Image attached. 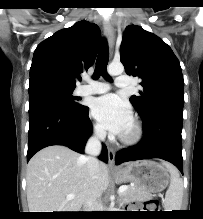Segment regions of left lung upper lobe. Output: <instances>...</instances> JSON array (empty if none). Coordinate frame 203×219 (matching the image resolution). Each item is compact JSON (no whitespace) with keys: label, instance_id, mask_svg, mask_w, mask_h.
<instances>
[{"label":"left lung upper lobe","instance_id":"obj_1","mask_svg":"<svg viewBox=\"0 0 203 219\" xmlns=\"http://www.w3.org/2000/svg\"><path fill=\"white\" fill-rule=\"evenodd\" d=\"M121 62L128 75L138 76L144 91L130 101L142 120L152 113L184 106V79L172 49L143 28H126L120 47Z\"/></svg>","mask_w":203,"mask_h":219}]
</instances>
